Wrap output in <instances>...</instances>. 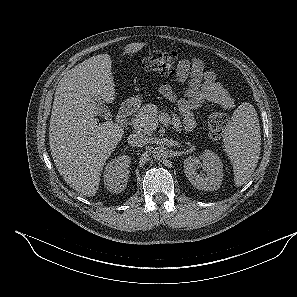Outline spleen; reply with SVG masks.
Returning a JSON list of instances; mask_svg holds the SVG:
<instances>
[{
	"instance_id": "1",
	"label": "spleen",
	"mask_w": 297,
	"mask_h": 297,
	"mask_svg": "<svg viewBox=\"0 0 297 297\" xmlns=\"http://www.w3.org/2000/svg\"><path fill=\"white\" fill-rule=\"evenodd\" d=\"M259 120L255 108L242 103L233 113L223 136L224 150L233 164L234 181L242 186L253 174L261 150Z\"/></svg>"
}]
</instances>
